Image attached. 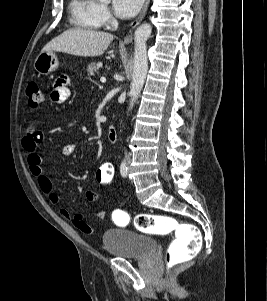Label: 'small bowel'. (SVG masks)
<instances>
[{
  "label": "small bowel",
  "mask_w": 267,
  "mask_h": 301,
  "mask_svg": "<svg viewBox=\"0 0 267 301\" xmlns=\"http://www.w3.org/2000/svg\"><path fill=\"white\" fill-rule=\"evenodd\" d=\"M69 85V77L65 75L59 76L54 84H53V90L51 92V100L54 103L62 104L66 102L70 95V89L68 87ZM42 141V133L38 131L33 124H31L27 131L22 138V148L27 154V162L29 166V170L33 176L37 178L38 185L43 193H45L48 197L51 203L53 204H59L60 203V197L56 193L53 181L51 178L43 171L42 168V158L38 153V145ZM76 150V145L71 143L67 144L63 147L62 153L65 156H71L74 154ZM80 189V188H79ZM98 198V195L94 191H87L86 193V199L89 202H94ZM60 213L62 216L66 218H71V213L65 209L62 208L60 210ZM105 212L99 211L95 214V217L97 219H104L105 218ZM73 224L77 229H79L81 232L86 234L93 233V228L84 220V218L80 215H76L73 217Z\"/></svg>",
  "instance_id": "c3829d8e"
}]
</instances>
